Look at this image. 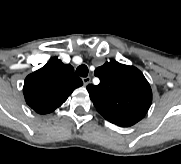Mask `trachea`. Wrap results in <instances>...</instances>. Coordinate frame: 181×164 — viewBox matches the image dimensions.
I'll return each instance as SVG.
<instances>
[{"label":"trachea","instance_id":"3493384b","mask_svg":"<svg viewBox=\"0 0 181 164\" xmlns=\"http://www.w3.org/2000/svg\"><path fill=\"white\" fill-rule=\"evenodd\" d=\"M76 74L81 77H87L88 76V67L85 64H82L77 67Z\"/></svg>","mask_w":181,"mask_h":164}]
</instances>
